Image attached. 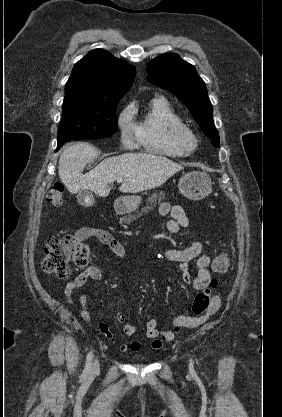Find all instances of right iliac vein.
Segmentation results:
<instances>
[{
    "mask_svg": "<svg viewBox=\"0 0 282 417\" xmlns=\"http://www.w3.org/2000/svg\"><path fill=\"white\" fill-rule=\"evenodd\" d=\"M98 370H99V361L96 359V360H94V362L91 366L90 372H91V374H95V373L98 372Z\"/></svg>",
    "mask_w": 282,
    "mask_h": 417,
    "instance_id": "obj_1",
    "label": "right iliac vein"
}]
</instances>
